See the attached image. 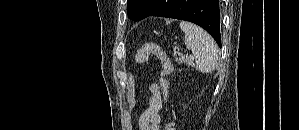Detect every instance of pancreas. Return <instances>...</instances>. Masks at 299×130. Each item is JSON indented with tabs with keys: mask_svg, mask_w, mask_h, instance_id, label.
<instances>
[{
	"mask_svg": "<svg viewBox=\"0 0 299 130\" xmlns=\"http://www.w3.org/2000/svg\"><path fill=\"white\" fill-rule=\"evenodd\" d=\"M176 61L178 63H186L188 65H191L192 64V58L190 56H186V57H179V58H176Z\"/></svg>",
	"mask_w": 299,
	"mask_h": 130,
	"instance_id": "obj_1",
	"label": "pancreas"
}]
</instances>
